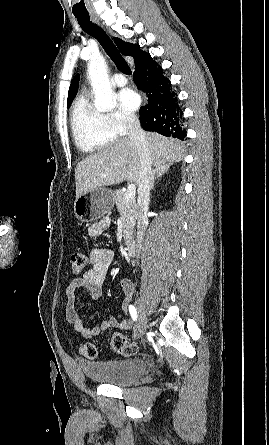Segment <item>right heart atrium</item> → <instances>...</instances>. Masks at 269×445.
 I'll return each instance as SVG.
<instances>
[{
	"label": "right heart atrium",
	"instance_id": "d8ad5b80",
	"mask_svg": "<svg viewBox=\"0 0 269 445\" xmlns=\"http://www.w3.org/2000/svg\"><path fill=\"white\" fill-rule=\"evenodd\" d=\"M105 120L116 137L127 134L137 123V118L133 113L122 109L106 113Z\"/></svg>",
	"mask_w": 269,
	"mask_h": 445
}]
</instances>
